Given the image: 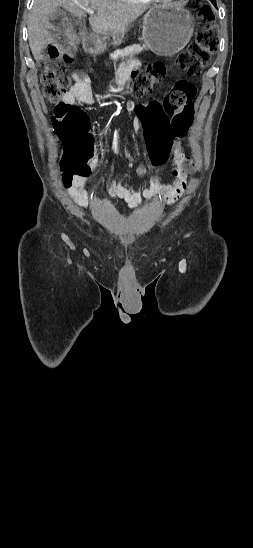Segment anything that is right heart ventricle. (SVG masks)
<instances>
[{"label":"right heart ventricle","instance_id":"1","mask_svg":"<svg viewBox=\"0 0 253 548\" xmlns=\"http://www.w3.org/2000/svg\"><path fill=\"white\" fill-rule=\"evenodd\" d=\"M123 3L127 4H134V5H146L152 2V0H118Z\"/></svg>","mask_w":253,"mask_h":548}]
</instances>
